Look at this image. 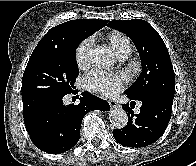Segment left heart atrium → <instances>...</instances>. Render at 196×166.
<instances>
[{"label": "left heart atrium", "instance_id": "1", "mask_svg": "<svg viewBox=\"0 0 196 166\" xmlns=\"http://www.w3.org/2000/svg\"><path fill=\"white\" fill-rule=\"evenodd\" d=\"M127 77L124 74H113L103 71H92L85 78V87L97 93L104 95H113L119 92Z\"/></svg>", "mask_w": 196, "mask_h": 166}]
</instances>
